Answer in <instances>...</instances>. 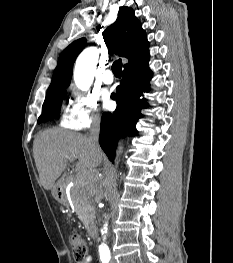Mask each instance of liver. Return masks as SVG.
<instances>
[{
	"instance_id": "6515ba94",
	"label": "liver",
	"mask_w": 233,
	"mask_h": 263,
	"mask_svg": "<svg viewBox=\"0 0 233 263\" xmlns=\"http://www.w3.org/2000/svg\"><path fill=\"white\" fill-rule=\"evenodd\" d=\"M33 156L39 179L46 190L54 188L68 161L77 159V180L91 178L103 161V153L90 139L80 133L51 128L38 134L33 144Z\"/></svg>"
}]
</instances>
